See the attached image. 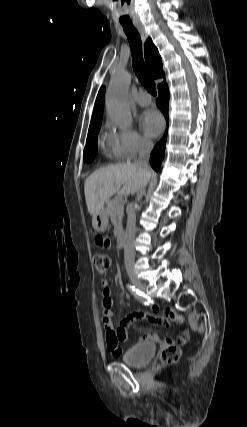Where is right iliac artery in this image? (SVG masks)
Masks as SVG:
<instances>
[{"mask_svg":"<svg viewBox=\"0 0 247 427\" xmlns=\"http://www.w3.org/2000/svg\"><path fill=\"white\" fill-rule=\"evenodd\" d=\"M128 290L135 296V298L143 303L144 305H148L150 300L149 298L143 293L140 292L138 289H136L134 286L127 285Z\"/></svg>","mask_w":247,"mask_h":427,"instance_id":"82829eb1","label":"right iliac artery"}]
</instances>
